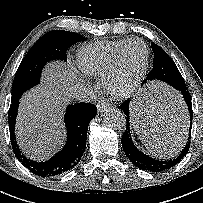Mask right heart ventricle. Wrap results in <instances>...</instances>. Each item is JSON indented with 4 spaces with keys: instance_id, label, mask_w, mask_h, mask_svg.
Wrapping results in <instances>:
<instances>
[{
    "instance_id": "obj_1",
    "label": "right heart ventricle",
    "mask_w": 203,
    "mask_h": 203,
    "mask_svg": "<svg viewBox=\"0 0 203 203\" xmlns=\"http://www.w3.org/2000/svg\"><path fill=\"white\" fill-rule=\"evenodd\" d=\"M128 40L100 42L82 47L77 54L80 70L87 76L104 78Z\"/></svg>"
}]
</instances>
